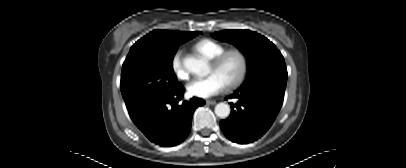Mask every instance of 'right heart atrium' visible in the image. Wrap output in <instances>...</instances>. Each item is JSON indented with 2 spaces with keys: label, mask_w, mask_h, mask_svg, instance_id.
Wrapping results in <instances>:
<instances>
[{
  "label": "right heart atrium",
  "mask_w": 406,
  "mask_h": 168,
  "mask_svg": "<svg viewBox=\"0 0 406 168\" xmlns=\"http://www.w3.org/2000/svg\"><path fill=\"white\" fill-rule=\"evenodd\" d=\"M171 69L180 80H185L188 77V72L184 63V51L178 49L174 52L171 58Z\"/></svg>",
  "instance_id": "1"
}]
</instances>
